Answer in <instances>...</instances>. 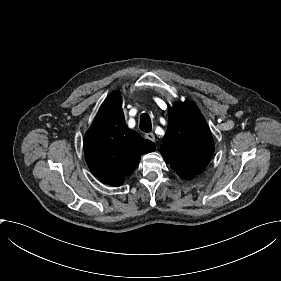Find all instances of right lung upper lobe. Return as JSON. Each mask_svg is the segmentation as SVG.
I'll return each mask as SVG.
<instances>
[{
    "label": "right lung upper lobe",
    "instance_id": "obj_1",
    "mask_svg": "<svg viewBox=\"0 0 281 281\" xmlns=\"http://www.w3.org/2000/svg\"><path fill=\"white\" fill-rule=\"evenodd\" d=\"M84 151L88 167L96 177L105 184L121 186L141 156L155 151V145L126 126L121 95L114 91L86 132Z\"/></svg>",
    "mask_w": 281,
    "mask_h": 281
}]
</instances>
